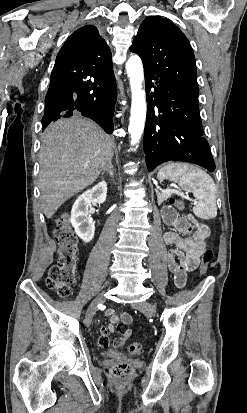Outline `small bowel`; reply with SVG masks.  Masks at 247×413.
Returning <instances> with one entry per match:
<instances>
[{"label":"small bowel","instance_id":"c3829d8e","mask_svg":"<svg viewBox=\"0 0 247 413\" xmlns=\"http://www.w3.org/2000/svg\"><path fill=\"white\" fill-rule=\"evenodd\" d=\"M164 223L172 227L174 231L164 233L163 240L166 245L172 246L168 251V268L173 275L176 287L183 288L186 285L187 274L200 265L201 254L206 249V239L209 236L207 225L200 223L193 215L178 217L171 207L163 209ZM109 319V329L119 328L117 340L112 346L114 349H128L129 338L132 336L131 323L133 318L129 313L108 309L105 312ZM100 329L96 337L101 349H108L110 342L107 340L109 332L104 324H99Z\"/></svg>","mask_w":247,"mask_h":413}]
</instances>
